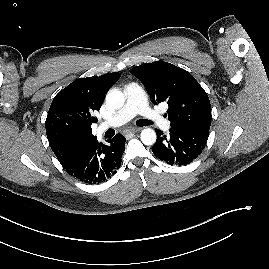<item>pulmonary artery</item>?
<instances>
[{"instance_id": "1", "label": "pulmonary artery", "mask_w": 269, "mask_h": 269, "mask_svg": "<svg viewBox=\"0 0 269 269\" xmlns=\"http://www.w3.org/2000/svg\"><path fill=\"white\" fill-rule=\"evenodd\" d=\"M124 94L126 96L125 105L109 120L104 121L99 125L98 129L100 132L123 125L138 114L145 119L158 124L166 131L170 129V122L149 107L146 94L140 85L137 83H129L125 85Z\"/></svg>"}]
</instances>
